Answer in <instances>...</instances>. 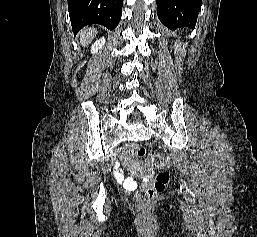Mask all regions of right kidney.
<instances>
[{
    "mask_svg": "<svg viewBox=\"0 0 257 237\" xmlns=\"http://www.w3.org/2000/svg\"><path fill=\"white\" fill-rule=\"evenodd\" d=\"M105 45V38L102 37L101 39L97 40L92 46H91V53L96 54L99 50L102 49V47Z\"/></svg>",
    "mask_w": 257,
    "mask_h": 237,
    "instance_id": "1",
    "label": "right kidney"
}]
</instances>
